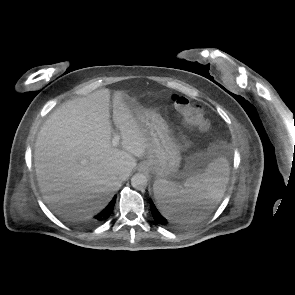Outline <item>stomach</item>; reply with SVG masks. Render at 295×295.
<instances>
[{
  "mask_svg": "<svg viewBox=\"0 0 295 295\" xmlns=\"http://www.w3.org/2000/svg\"><path fill=\"white\" fill-rule=\"evenodd\" d=\"M141 131L149 141L148 158L144 167L153 171L158 179L177 176L181 163V144L159 112L126 100Z\"/></svg>",
  "mask_w": 295,
  "mask_h": 295,
  "instance_id": "obj_1",
  "label": "stomach"
}]
</instances>
